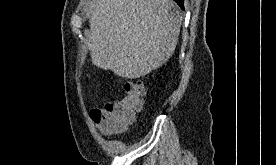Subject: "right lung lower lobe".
<instances>
[{"mask_svg":"<svg viewBox=\"0 0 276 165\" xmlns=\"http://www.w3.org/2000/svg\"><path fill=\"white\" fill-rule=\"evenodd\" d=\"M175 2H177V4L183 8V0H174Z\"/></svg>","mask_w":276,"mask_h":165,"instance_id":"obj_1","label":"right lung lower lobe"}]
</instances>
